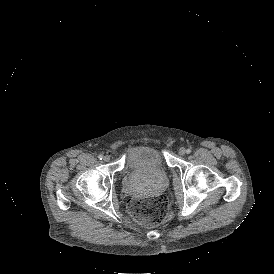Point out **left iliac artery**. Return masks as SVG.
<instances>
[{"mask_svg": "<svg viewBox=\"0 0 274 274\" xmlns=\"http://www.w3.org/2000/svg\"><path fill=\"white\" fill-rule=\"evenodd\" d=\"M186 153H187V154L191 153V149L188 148V149L186 150Z\"/></svg>", "mask_w": 274, "mask_h": 274, "instance_id": "44dca946", "label": "left iliac artery"}]
</instances>
